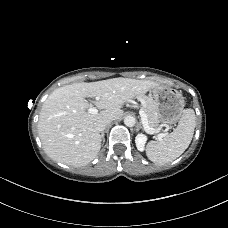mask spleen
Listing matches in <instances>:
<instances>
[{
    "label": "spleen",
    "mask_w": 228,
    "mask_h": 228,
    "mask_svg": "<svg viewBox=\"0 0 228 228\" xmlns=\"http://www.w3.org/2000/svg\"><path fill=\"white\" fill-rule=\"evenodd\" d=\"M193 109H186L177 128L157 141H150L146 148L147 157L155 164L164 165L177 159L189 146L196 123Z\"/></svg>",
    "instance_id": "obj_1"
}]
</instances>
